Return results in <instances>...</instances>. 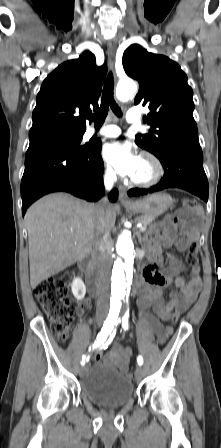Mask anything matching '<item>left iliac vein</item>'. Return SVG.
I'll list each match as a JSON object with an SVG mask.
<instances>
[{
  "label": "left iliac vein",
  "instance_id": "4c4485c4",
  "mask_svg": "<svg viewBox=\"0 0 221 448\" xmlns=\"http://www.w3.org/2000/svg\"><path fill=\"white\" fill-rule=\"evenodd\" d=\"M143 377V369L141 366H137L136 370H135V378L137 380H140Z\"/></svg>",
  "mask_w": 221,
  "mask_h": 448
}]
</instances>
